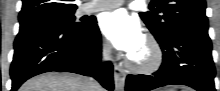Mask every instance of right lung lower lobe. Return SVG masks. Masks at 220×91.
Masks as SVG:
<instances>
[{
	"label": "right lung lower lobe",
	"instance_id": "right-lung-lower-lobe-1",
	"mask_svg": "<svg viewBox=\"0 0 220 91\" xmlns=\"http://www.w3.org/2000/svg\"><path fill=\"white\" fill-rule=\"evenodd\" d=\"M10 75L16 91L27 79L50 71L92 76L112 91L113 65L101 64V34L96 21L71 28L50 18L20 22Z\"/></svg>",
	"mask_w": 220,
	"mask_h": 91
}]
</instances>
